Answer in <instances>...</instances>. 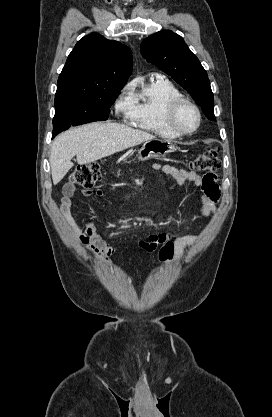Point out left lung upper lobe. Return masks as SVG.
Segmentation results:
<instances>
[{
  "mask_svg": "<svg viewBox=\"0 0 272 417\" xmlns=\"http://www.w3.org/2000/svg\"><path fill=\"white\" fill-rule=\"evenodd\" d=\"M141 54L185 88L205 116L215 120L214 97L207 72L181 36L170 30L157 32L141 43Z\"/></svg>",
  "mask_w": 272,
  "mask_h": 417,
  "instance_id": "1",
  "label": "left lung upper lobe"
}]
</instances>
